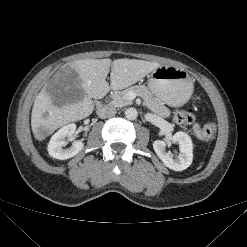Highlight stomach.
<instances>
[{
    "label": "stomach",
    "instance_id": "1",
    "mask_svg": "<svg viewBox=\"0 0 247 247\" xmlns=\"http://www.w3.org/2000/svg\"><path fill=\"white\" fill-rule=\"evenodd\" d=\"M148 88L158 100L171 107H179L190 98L193 83L186 70L162 65L148 76Z\"/></svg>",
    "mask_w": 247,
    "mask_h": 247
}]
</instances>
